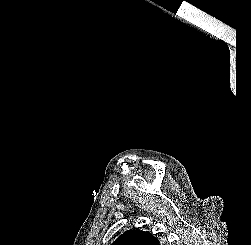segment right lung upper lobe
<instances>
[{
	"label": "right lung upper lobe",
	"mask_w": 251,
	"mask_h": 245,
	"mask_svg": "<svg viewBox=\"0 0 251 245\" xmlns=\"http://www.w3.org/2000/svg\"><path fill=\"white\" fill-rule=\"evenodd\" d=\"M112 245H160L152 234L139 230L126 231Z\"/></svg>",
	"instance_id": "right-lung-upper-lobe-1"
}]
</instances>
